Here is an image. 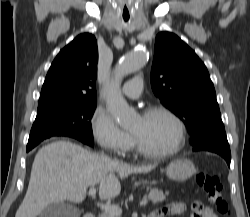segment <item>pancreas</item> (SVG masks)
Instances as JSON below:
<instances>
[{
  "label": "pancreas",
  "mask_w": 250,
  "mask_h": 217,
  "mask_svg": "<svg viewBox=\"0 0 250 217\" xmlns=\"http://www.w3.org/2000/svg\"><path fill=\"white\" fill-rule=\"evenodd\" d=\"M168 192L163 193V191L156 188L151 189L148 194V199L152 201L153 204L160 203L166 199ZM99 217H120V215L111 214L110 212L104 211Z\"/></svg>",
  "instance_id": "pancreas-1"
}]
</instances>
